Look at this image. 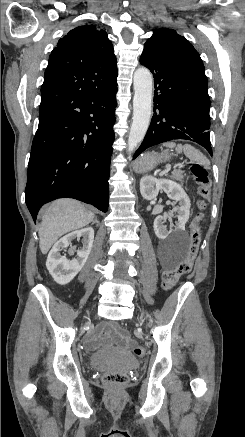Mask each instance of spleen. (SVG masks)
Wrapping results in <instances>:
<instances>
[{
    "instance_id": "1",
    "label": "spleen",
    "mask_w": 245,
    "mask_h": 437,
    "mask_svg": "<svg viewBox=\"0 0 245 437\" xmlns=\"http://www.w3.org/2000/svg\"><path fill=\"white\" fill-rule=\"evenodd\" d=\"M163 146L168 148H175L178 153L184 152V154L192 161L197 162L198 164L205 165L208 163L207 158L202 154L198 149L193 147L190 144H176L175 142H166Z\"/></svg>"
}]
</instances>
